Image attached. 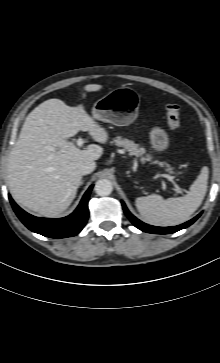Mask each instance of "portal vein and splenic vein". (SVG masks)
I'll list each match as a JSON object with an SVG mask.
<instances>
[{"mask_svg": "<svg viewBox=\"0 0 220 363\" xmlns=\"http://www.w3.org/2000/svg\"><path fill=\"white\" fill-rule=\"evenodd\" d=\"M78 146H82L84 144V140L82 138H79L76 141ZM53 150V149H51ZM160 176L165 177L169 182H171V184L174 186V190L176 191V193L178 194H182L183 190L176 184V182L173 180V177L167 174H160Z\"/></svg>", "mask_w": 220, "mask_h": 363, "instance_id": "18ae733b", "label": "portal vein and splenic vein"}]
</instances>
